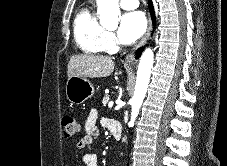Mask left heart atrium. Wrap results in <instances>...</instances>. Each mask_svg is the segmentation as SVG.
<instances>
[{"label":"left heart atrium","instance_id":"39dd6f15","mask_svg":"<svg viewBox=\"0 0 227 166\" xmlns=\"http://www.w3.org/2000/svg\"><path fill=\"white\" fill-rule=\"evenodd\" d=\"M147 28V21L140 11L124 14L118 26V38L124 44H130L140 38Z\"/></svg>","mask_w":227,"mask_h":166}]
</instances>
